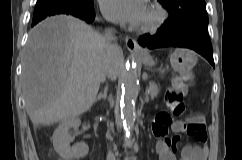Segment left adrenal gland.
<instances>
[{"mask_svg": "<svg viewBox=\"0 0 242 160\" xmlns=\"http://www.w3.org/2000/svg\"><path fill=\"white\" fill-rule=\"evenodd\" d=\"M148 100V96L146 95V101Z\"/></svg>", "mask_w": 242, "mask_h": 160, "instance_id": "a2214340", "label": "left adrenal gland"}]
</instances>
